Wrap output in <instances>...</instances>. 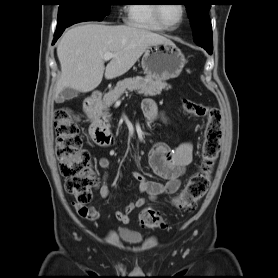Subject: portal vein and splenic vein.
<instances>
[{
  "instance_id": "1",
  "label": "portal vein and splenic vein",
  "mask_w": 278,
  "mask_h": 278,
  "mask_svg": "<svg viewBox=\"0 0 278 278\" xmlns=\"http://www.w3.org/2000/svg\"><path fill=\"white\" fill-rule=\"evenodd\" d=\"M115 56V54H112V53H105L104 54V56H103V59L105 60V61H108V60H110L111 58H113Z\"/></svg>"
}]
</instances>
